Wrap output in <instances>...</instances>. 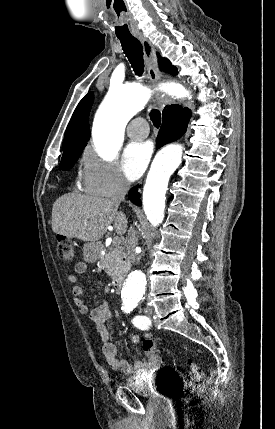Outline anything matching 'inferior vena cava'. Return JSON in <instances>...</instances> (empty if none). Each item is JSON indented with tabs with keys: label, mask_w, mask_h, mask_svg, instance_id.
Masks as SVG:
<instances>
[{
	"label": "inferior vena cava",
	"mask_w": 275,
	"mask_h": 429,
	"mask_svg": "<svg viewBox=\"0 0 275 429\" xmlns=\"http://www.w3.org/2000/svg\"><path fill=\"white\" fill-rule=\"evenodd\" d=\"M129 187H130V184L126 180L121 179L113 199L116 202L123 201L125 199V195L127 191L129 190ZM137 244H138L137 232L134 229V227L131 226L127 232V236L125 239L127 261L129 263H137L140 260V257L137 255L135 251Z\"/></svg>",
	"instance_id": "1"
}]
</instances>
